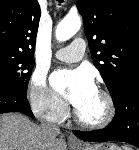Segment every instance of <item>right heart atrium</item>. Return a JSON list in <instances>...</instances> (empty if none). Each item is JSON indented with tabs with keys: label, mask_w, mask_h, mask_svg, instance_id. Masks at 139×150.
I'll return each instance as SVG.
<instances>
[{
	"label": "right heart atrium",
	"mask_w": 139,
	"mask_h": 150,
	"mask_svg": "<svg viewBox=\"0 0 139 150\" xmlns=\"http://www.w3.org/2000/svg\"><path fill=\"white\" fill-rule=\"evenodd\" d=\"M28 97L31 109L40 119L56 122L68 112L67 105L47 86L45 74L41 71L32 74Z\"/></svg>",
	"instance_id": "1"
}]
</instances>
